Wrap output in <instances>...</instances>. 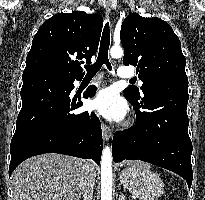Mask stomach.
Masks as SVG:
<instances>
[{"instance_id":"0dacf381","label":"stomach","mask_w":205,"mask_h":200,"mask_svg":"<svg viewBox=\"0 0 205 200\" xmlns=\"http://www.w3.org/2000/svg\"><path fill=\"white\" fill-rule=\"evenodd\" d=\"M120 181L139 200H157L164 193L160 176L143 163H133L123 169Z\"/></svg>"}]
</instances>
